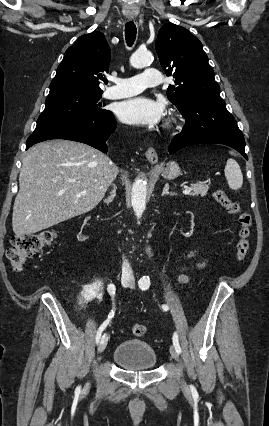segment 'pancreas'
I'll return each mask as SVG.
<instances>
[{
    "instance_id": "1",
    "label": "pancreas",
    "mask_w": 269,
    "mask_h": 426,
    "mask_svg": "<svg viewBox=\"0 0 269 426\" xmlns=\"http://www.w3.org/2000/svg\"><path fill=\"white\" fill-rule=\"evenodd\" d=\"M208 185L202 183H192L191 184V192L189 195L191 196H206L208 191Z\"/></svg>"
}]
</instances>
